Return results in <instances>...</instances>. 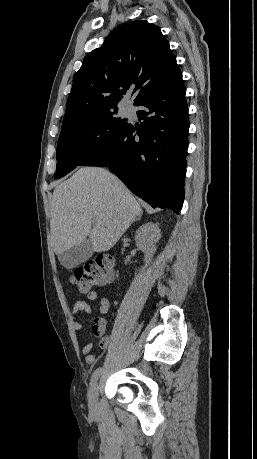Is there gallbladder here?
Listing matches in <instances>:
<instances>
[{
    "mask_svg": "<svg viewBox=\"0 0 257 459\" xmlns=\"http://www.w3.org/2000/svg\"><path fill=\"white\" fill-rule=\"evenodd\" d=\"M94 252L91 241L87 238L80 244L68 249L58 256L59 262L66 269L77 267L89 259Z\"/></svg>",
    "mask_w": 257,
    "mask_h": 459,
    "instance_id": "obj_1",
    "label": "gallbladder"
}]
</instances>
